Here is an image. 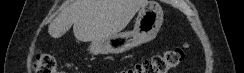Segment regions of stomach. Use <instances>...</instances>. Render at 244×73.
<instances>
[{
	"label": "stomach",
	"mask_w": 244,
	"mask_h": 73,
	"mask_svg": "<svg viewBox=\"0 0 244 73\" xmlns=\"http://www.w3.org/2000/svg\"><path fill=\"white\" fill-rule=\"evenodd\" d=\"M163 9L154 0L148 1L138 12L133 31L117 33L101 41H92L93 54H121L153 40L163 22Z\"/></svg>",
	"instance_id": "stomach-1"
}]
</instances>
